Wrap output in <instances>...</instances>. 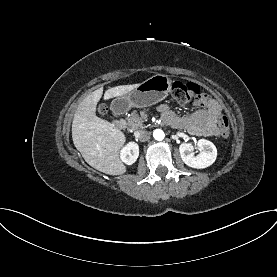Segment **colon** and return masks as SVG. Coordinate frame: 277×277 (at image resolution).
Here are the masks:
<instances>
[{"mask_svg":"<svg viewBox=\"0 0 277 277\" xmlns=\"http://www.w3.org/2000/svg\"><path fill=\"white\" fill-rule=\"evenodd\" d=\"M172 95L175 101L181 105L198 102L202 98L200 87L193 82L187 81H176L172 86ZM99 112L105 113V106H100ZM219 126L221 135L227 137L229 135V124L225 116H220Z\"/></svg>","mask_w":277,"mask_h":277,"instance_id":"obj_1","label":"colon"}]
</instances>
